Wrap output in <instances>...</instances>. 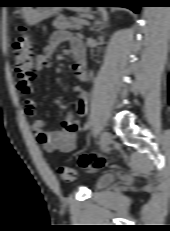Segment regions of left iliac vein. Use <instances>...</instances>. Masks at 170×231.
<instances>
[{
  "label": "left iliac vein",
  "mask_w": 170,
  "mask_h": 231,
  "mask_svg": "<svg viewBox=\"0 0 170 231\" xmlns=\"http://www.w3.org/2000/svg\"><path fill=\"white\" fill-rule=\"evenodd\" d=\"M112 135L108 131H103L101 134V149L104 151L112 142Z\"/></svg>",
  "instance_id": "left-iliac-vein-1"
}]
</instances>
